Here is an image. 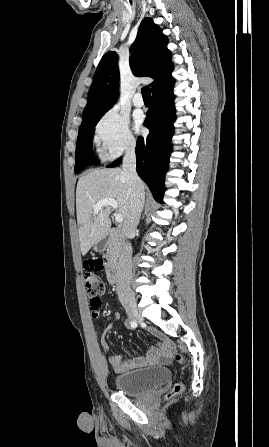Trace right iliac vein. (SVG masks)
Segmentation results:
<instances>
[{
    "label": "right iliac vein",
    "mask_w": 269,
    "mask_h": 447,
    "mask_svg": "<svg viewBox=\"0 0 269 447\" xmlns=\"http://www.w3.org/2000/svg\"><path fill=\"white\" fill-rule=\"evenodd\" d=\"M129 317L136 322H143L144 319L140 315L139 310L136 306V299L132 297L130 300H125L122 302Z\"/></svg>",
    "instance_id": "obj_1"
}]
</instances>
